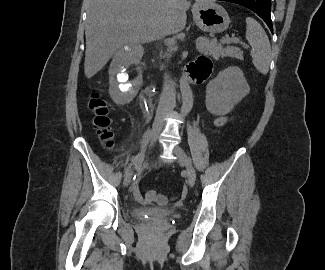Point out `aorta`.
<instances>
[{"label":"aorta","instance_id":"1","mask_svg":"<svg viewBox=\"0 0 325 270\" xmlns=\"http://www.w3.org/2000/svg\"><path fill=\"white\" fill-rule=\"evenodd\" d=\"M180 91L182 95L181 113L186 115L193 107V94L189 83L185 79H180Z\"/></svg>","mask_w":325,"mask_h":270}]
</instances>
